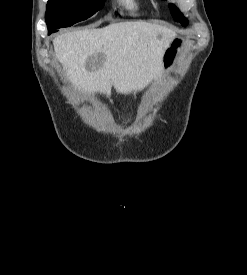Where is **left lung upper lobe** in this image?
<instances>
[{"label": "left lung upper lobe", "mask_w": 247, "mask_h": 275, "mask_svg": "<svg viewBox=\"0 0 247 275\" xmlns=\"http://www.w3.org/2000/svg\"><path fill=\"white\" fill-rule=\"evenodd\" d=\"M169 8L171 9V14L174 20L180 22L183 26H186L188 21L184 18L183 14L173 4H169Z\"/></svg>", "instance_id": "1"}]
</instances>
